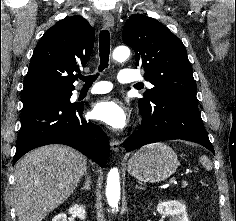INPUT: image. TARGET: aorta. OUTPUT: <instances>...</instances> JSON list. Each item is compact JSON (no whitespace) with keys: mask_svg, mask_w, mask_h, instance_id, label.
I'll list each match as a JSON object with an SVG mask.
<instances>
[{"mask_svg":"<svg viewBox=\"0 0 236 221\" xmlns=\"http://www.w3.org/2000/svg\"><path fill=\"white\" fill-rule=\"evenodd\" d=\"M130 56V50L126 46H119L113 51L112 57L116 61H125ZM106 197L109 206L118 207L120 199V175L117 168L110 170L107 176Z\"/></svg>","mask_w":236,"mask_h":221,"instance_id":"1","label":"aorta"}]
</instances>
